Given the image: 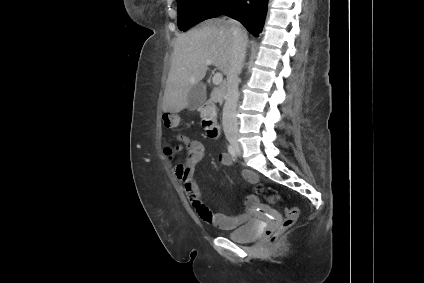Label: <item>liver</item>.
Segmentation results:
<instances>
[{
  "mask_svg": "<svg viewBox=\"0 0 424 283\" xmlns=\"http://www.w3.org/2000/svg\"><path fill=\"white\" fill-rule=\"evenodd\" d=\"M233 35L226 18H211L177 37L163 97V112L178 113L189 106L188 93L205 77L212 61L228 75Z\"/></svg>",
  "mask_w": 424,
  "mask_h": 283,
  "instance_id": "liver-1",
  "label": "liver"
}]
</instances>
